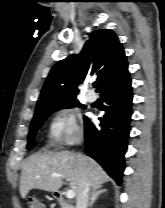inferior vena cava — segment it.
<instances>
[{
    "mask_svg": "<svg viewBox=\"0 0 165 208\" xmlns=\"http://www.w3.org/2000/svg\"><path fill=\"white\" fill-rule=\"evenodd\" d=\"M90 196V186L86 180L82 182L81 191L76 199V208H87Z\"/></svg>",
    "mask_w": 165,
    "mask_h": 208,
    "instance_id": "1",
    "label": "inferior vena cava"
}]
</instances>
